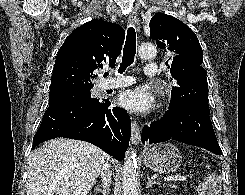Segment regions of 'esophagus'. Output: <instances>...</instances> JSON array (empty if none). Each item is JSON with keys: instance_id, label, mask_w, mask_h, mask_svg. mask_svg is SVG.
I'll use <instances>...</instances> for the list:
<instances>
[{"instance_id": "esophagus-1", "label": "esophagus", "mask_w": 245, "mask_h": 195, "mask_svg": "<svg viewBox=\"0 0 245 195\" xmlns=\"http://www.w3.org/2000/svg\"><path fill=\"white\" fill-rule=\"evenodd\" d=\"M128 24L132 27H134V29L139 32L140 30V22H139V18L137 16V14L135 12H132L129 14L128 16ZM140 127L139 125L136 123V121L132 120L131 121V140L132 143L134 145H138L139 141H140Z\"/></svg>"}]
</instances>
